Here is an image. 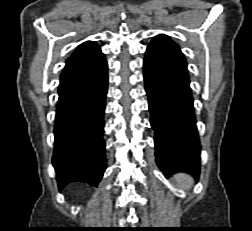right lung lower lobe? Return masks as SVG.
Wrapping results in <instances>:
<instances>
[{
  "instance_id": "right-lung-lower-lobe-1",
  "label": "right lung lower lobe",
  "mask_w": 252,
  "mask_h": 231,
  "mask_svg": "<svg viewBox=\"0 0 252 231\" xmlns=\"http://www.w3.org/2000/svg\"><path fill=\"white\" fill-rule=\"evenodd\" d=\"M107 71L59 94L53 166L59 190L75 181L97 187L106 169L104 130Z\"/></svg>"
}]
</instances>
